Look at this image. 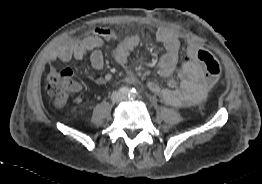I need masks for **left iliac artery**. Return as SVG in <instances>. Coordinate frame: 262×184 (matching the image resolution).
I'll list each match as a JSON object with an SVG mask.
<instances>
[{
	"instance_id": "obj_1",
	"label": "left iliac artery",
	"mask_w": 262,
	"mask_h": 184,
	"mask_svg": "<svg viewBox=\"0 0 262 184\" xmlns=\"http://www.w3.org/2000/svg\"><path fill=\"white\" fill-rule=\"evenodd\" d=\"M137 95H138V91L136 89H133V91L130 93V95L128 97L130 99H134V98H136Z\"/></svg>"
}]
</instances>
